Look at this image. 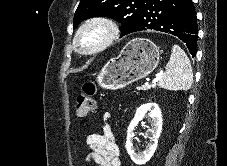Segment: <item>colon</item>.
<instances>
[{"label": "colon", "mask_w": 227, "mask_h": 166, "mask_svg": "<svg viewBox=\"0 0 227 166\" xmlns=\"http://www.w3.org/2000/svg\"><path fill=\"white\" fill-rule=\"evenodd\" d=\"M96 85L94 83H85L81 93L76 98V114L79 117H85L95 110Z\"/></svg>", "instance_id": "colon-1"}]
</instances>
